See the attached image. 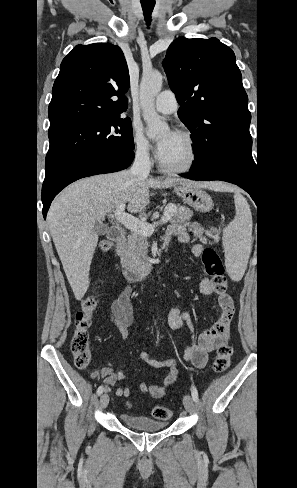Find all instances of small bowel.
I'll list each match as a JSON object with an SVG mask.
<instances>
[{
  "instance_id": "1",
  "label": "small bowel",
  "mask_w": 297,
  "mask_h": 488,
  "mask_svg": "<svg viewBox=\"0 0 297 488\" xmlns=\"http://www.w3.org/2000/svg\"><path fill=\"white\" fill-rule=\"evenodd\" d=\"M180 243H190L192 237L187 228L180 225H173L167 229L164 237L165 245L173 239ZM191 252L199 257L204 252V246L196 243L192 246ZM200 292L208 295L214 292L210 280L202 277L199 284ZM132 288L126 287L120 295L113 301L111 306V320L119 329L124 339L128 338L127 327L133 322V307L131 303ZM234 313L233 300L227 293H218L216 306V320L212 326L203 331L198 339H195V328L188 314L176 307L168 313L167 321L171 328L179 330L186 329L192 336V341L185 350L184 359L195 368H203L208 362V356L221 343L227 341L229 337V326ZM140 359L152 368H168V374L163 385L145 382H138L139 392L142 395H149L152 398L163 397L169 387L177 379L178 370L176 361L173 359L157 360L148 353H141ZM92 379H104L103 388L109 391L118 381L127 380L128 377L122 371H115L111 367H104L91 375ZM117 397L128 398L130 390L127 387H119L115 392Z\"/></svg>"
}]
</instances>
